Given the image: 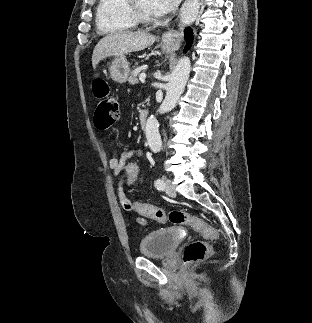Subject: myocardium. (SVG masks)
<instances>
[{"label":"myocardium","instance_id":"obj_1","mask_svg":"<svg viewBox=\"0 0 312 323\" xmlns=\"http://www.w3.org/2000/svg\"><path fill=\"white\" fill-rule=\"evenodd\" d=\"M129 5L128 8L129 10H134V17H135V21L139 24V25H146L149 21V23H152V20H150L151 14L150 12H145L144 8H138V5L136 2V0H129Z\"/></svg>","mask_w":312,"mask_h":323}]
</instances>
